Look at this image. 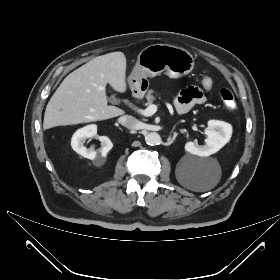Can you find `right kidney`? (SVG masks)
Listing matches in <instances>:
<instances>
[{"label":"right kidney","instance_id":"obj_1","mask_svg":"<svg viewBox=\"0 0 280 280\" xmlns=\"http://www.w3.org/2000/svg\"><path fill=\"white\" fill-rule=\"evenodd\" d=\"M97 126L91 124L77 130L71 139L72 149L80 154L81 156L97 160L99 164L104 162L107 153L112 149L113 144L107 136H99L98 139L101 142V147L99 149H94V147L86 148L84 143L87 138L96 136Z\"/></svg>","mask_w":280,"mask_h":280}]
</instances>
